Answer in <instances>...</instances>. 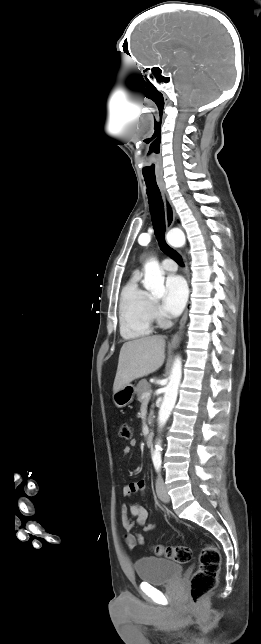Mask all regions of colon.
I'll list each match as a JSON object with an SVG mask.
<instances>
[{
	"label": "colon",
	"instance_id": "1",
	"mask_svg": "<svg viewBox=\"0 0 261 644\" xmlns=\"http://www.w3.org/2000/svg\"><path fill=\"white\" fill-rule=\"evenodd\" d=\"M120 436L123 439L132 437V429L129 423L124 422L120 426ZM154 552L175 562L185 564L191 560V550L187 546H163L154 547ZM221 555L218 548L212 544L206 545L200 553L199 566L190 580V599L193 604H199L202 599L213 590L218 581Z\"/></svg>",
	"mask_w": 261,
	"mask_h": 644
}]
</instances>
